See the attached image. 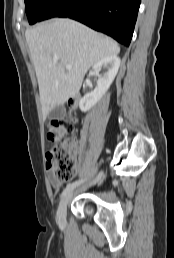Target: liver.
<instances>
[{
	"mask_svg": "<svg viewBox=\"0 0 174 258\" xmlns=\"http://www.w3.org/2000/svg\"><path fill=\"white\" fill-rule=\"evenodd\" d=\"M39 85L44 118L56 106L76 95L88 69L108 56H117L119 45L71 19H54L25 32ZM57 56L58 60L54 61ZM66 65L72 69L67 70Z\"/></svg>",
	"mask_w": 174,
	"mask_h": 258,
	"instance_id": "6515ba94",
	"label": "liver"
}]
</instances>
